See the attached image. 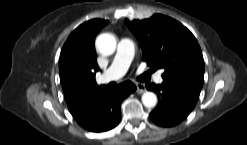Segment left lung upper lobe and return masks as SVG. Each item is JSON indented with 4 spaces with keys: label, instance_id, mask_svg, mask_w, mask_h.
<instances>
[{
    "label": "left lung upper lobe",
    "instance_id": "obj_1",
    "mask_svg": "<svg viewBox=\"0 0 247 145\" xmlns=\"http://www.w3.org/2000/svg\"><path fill=\"white\" fill-rule=\"evenodd\" d=\"M141 44L143 60L164 68L163 79H173L202 89L204 60L194 35L181 23L154 14L145 20H125Z\"/></svg>",
    "mask_w": 247,
    "mask_h": 145
}]
</instances>
